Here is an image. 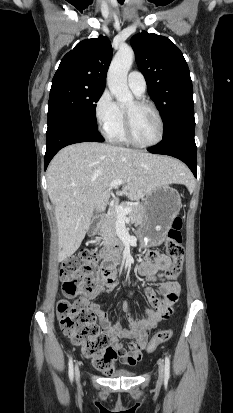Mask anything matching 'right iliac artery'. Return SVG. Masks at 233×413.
I'll list each match as a JSON object with an SVG mask.
<instances>
[{
	"label": "right iliac artery",
	"mask_w": 233,
	"mask_h": 413,
	"mask_svg": "<svg viewBox=\"0 0 233 413\" xmlns=\"http://www.w3.org/2000/svg\"><path fill=\"white\" fill-rule=\"evenodd\" d=\"M69 378L70 381H73V377H74V369H73V361H72V357L69 358Z\"/></svg>",
	"instance_id": "1"
}]
</instances>
